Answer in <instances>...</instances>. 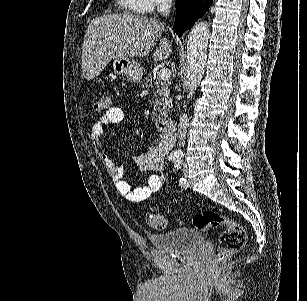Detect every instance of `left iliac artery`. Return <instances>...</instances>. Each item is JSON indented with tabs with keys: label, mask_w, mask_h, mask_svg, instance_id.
Wrapping results in <instances>:
<instances>
[{
	"label": "left iliac artery",
	"mask_w": 307,
	"mask_h": 301,
	"mask_svg": "<svg viewBox=\"0 0 307 301\" xmlns=\"http://www.w3.org/2000/svg\"><path fill=\"white\" fill-rule=\"evenodd\" d=\"M182 165V160L181 159H177L174 163V167L175 169L179 170L181 168ZM180 185L188 187V184L186 182V179L184 178H180Z\"/></svg>",
	"instance_id": "obj_1"
}]
</instances>
